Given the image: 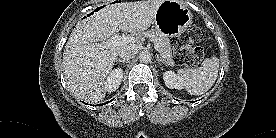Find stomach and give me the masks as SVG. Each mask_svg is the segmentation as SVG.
<instances>
[{"instance_id":"1","label":"stomach","mask_w":276,"mask_h":138,"mask_svg":"<svg viewBox=\"0 0 276 138\" xmlns=\"http://www.w3.org/2000/svg\"><path fill=\"white\" fill-rule=\"evenodd\" d=\"M154 28L167 37L178 36L192 24L191 12L178 0H164L156 11Z\"/></svg>"}]
</instances>
